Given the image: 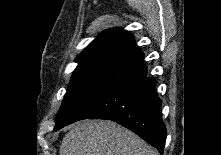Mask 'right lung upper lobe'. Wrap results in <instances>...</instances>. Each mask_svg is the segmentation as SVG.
<instances>
[{"label": "right lung upper lobe", "mask_w": 221, "mask_h": 155, "mask_svg": "<svg viewBox=\"0 0 221 155\" xmlns=\"http://www.w3.org/2000/svg\"><path fill=\"white\" fill-rule=\"evenodd\" d=\"M137 49L134 38L128 32L115 28L103 31L93 40L75 61L101 55H118L125 57Z\"/></svg>", "instance_id": "1"}]
</instances>
